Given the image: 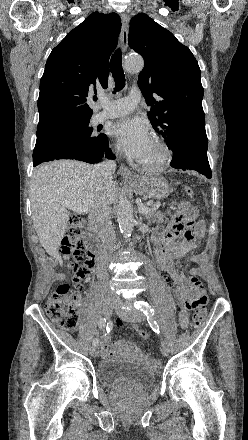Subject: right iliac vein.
Segmentation results:
<instances>
[{"mask_svg":"<svg viewBox=\"0 0 248 440\" xmlns=\"http://www.w3.org/2000/svg\"><path fill=\"white\" fill-rule=\"evenodd\" d=\"M115 303H116L115 298H113L111 296H105L103 298V311H104V314L106 315V317L110 316L112 309L115 306ZM98 353H99V349L97 346L91 347V349H90L91 356L96 357L98 355Z\"/></svg>","mask_w":248,"mask_h":440,"instance_id":"63e3f726","label":"right iliac vein"}]
</instances>
